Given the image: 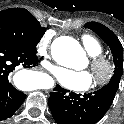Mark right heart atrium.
<instances>
[{
  "label": "right heart atrium",
  "instance_id": "d8ad5b80",
  "mask_svg": "<svg viewBox=\"0 0 124 124\" xmlns=\"http://www.w3.org/2000/svg\"><path fill=\"white\" fill-rule=\"evenodd\" d=\"M51 39H52V33L51 32H47L45 33L41 39L38 42V53L43 56L45 59L50 58V53H49V49H50V45H51ZM45 65L47 68H50L51 65L48 61H45Z\"/></svg>",
  "mask_w": 124,
  "mask_h": 124
}]
</instances>
